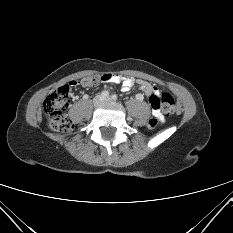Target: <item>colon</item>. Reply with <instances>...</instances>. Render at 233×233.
<instances>
[{
  "label": "colon",
  "instance_id": "1",
  "mask_svg": "<svg viewBox=\"0 0 233 233\" xmlns=\"http://www.w3.org/2000/svg\"><path fill=\"white\" fill-rule=\"evenodd\" d=\"M107 75V74H106ZM83 87H94L101 83L97 80V75L82 78ZM71 88L68 84L59 86L52 90L44 100L43 110L48 117L50 127L57 132H69L73 129V122L64 113L71 103ZM152 106L157 107L165 116L175 113L177 103L170 93H163L161 96L153 97L150 100ZM158 125V120L154 117L148 121L147 126L150 129Z\"/></svg>",
  "mask_w": 233,
  "mask_h": 233
}]
</instances>
